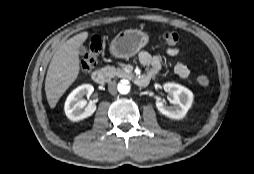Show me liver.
Here are the masks:
<instances>
[{
    "label": "liver",
    "mask_w": 254,
    "mask_h": 174,
    "mask_svg": "<svg viewBox=\"0 0 254 174\" xmlns=\"http://www.w3.org/2000/svg\"><path fill=\"white\" fill-rule=\"evenodd\" d=\"M88 32L79 33L61 44L49 64L45 93L54 108L65 91L77 79L80 71L79 48L87 40Z\"/></svg>",
    "instance_id": "1"
}]
</instances>
